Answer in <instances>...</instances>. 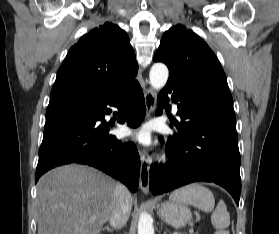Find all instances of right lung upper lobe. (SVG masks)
Segmentation results:
<instances>
[{
	"label": "right lung upper lobe",
	"instance_id": "1",
	"mask_svg": "<svg viewBox=\"0 0 279 234\" xmlns=\"http://www.w3.org/2000/svg\"><path fill=\"white\" fill-rule=\"evenodd\" d=\"M137 71L128 35L107 22L71 47L58 70L48 108L106 102L135 82Z\"/></svg>",
	"mask_w": 279,
	"mask_h": 234
}]
</instances>
